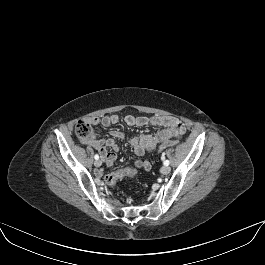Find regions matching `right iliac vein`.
<instances>
[{
    "mask_svg": "<svg viewBox=\"0 0 265 265\" xmlns=\"http://www.w3.org/2000/svg\"><path fill=\"white\" fill-rule=\"evenodd\" d=\"M101 164H102V162H101V160H96L95 162H94V165L96 166V167H100L101 166Z\"/></svg>",
    "mask_w": 265,
    "mask_h": 265,
    "instance_id": "right-iliac-vein-1",
    "label": "right iliac vein"
}]
</instances>
